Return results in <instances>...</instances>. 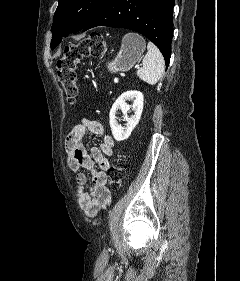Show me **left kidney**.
I'll return each instance as SVG.
<instances>
[{
	"mask_svg": "<svg viewBox=\"0 0 240 281\" xmlns=\"http://www.w3.org/2000/svg\"><path fill=\"white\" fill-rule=\"evenodd\" d=\"M143 98V94L140 91H127L121 94L114 102L109 114V123L113 137L116 141H123L129 138L131 132L138 124L143 111ZM127 100H132L133 104L128 105L126 103ZM130 109L134 111V115L131 117L127 115V112ZM118 110H121L124 113V120L127 121L125 128L118 124L116 118Z\"/></svg>",
	"mask_w": 240,
	"mask_h": 281,
	"instance_id": "obj_1",
	"label": "left kidney"
}]
</instances>
